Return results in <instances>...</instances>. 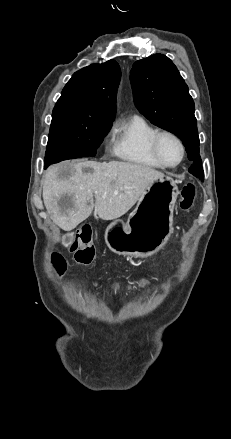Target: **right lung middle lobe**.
Segmentation results:
<instances>
[{
	"label": "right lung middle lobe",
	"mask_w": 231,
	"mask_h": 439,
	"mask_svg": "<svg viewBox=\"0 0 231 439\" xmlns=\"http://www.w3.org/2000/svg\"><path fill=\"white\" fill-rule=\"evenodd\" d=\"M112 126V120L88 116L52 118L45 168L66 159L95 156Z\"/></svg>",
	"instance_id": "1"
}]
</instances>
